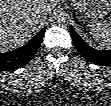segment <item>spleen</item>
Wrapping results in <instances>:
<instances>
[{
	"label": "spleen",
	"instance_id": "spleen-1",
	"mask_svg": "<svg viewBox=\"0 0 111 106\" xmlns=\"http://www.w3.org/2000/svg\"><path fill=\"white\" fill-rule=\"evenodd\" d=\"M88 28L96 42L105 48H111V19L107 23L90 22Z\"/></svg>",
	"mask_w": 111,
	"mask_h": 106
}]
</instances>
